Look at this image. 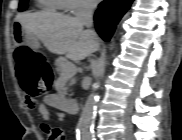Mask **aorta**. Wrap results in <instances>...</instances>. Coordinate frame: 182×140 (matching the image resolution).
Instances as JSON below:
<instances>
[{"instance_id":"aorta-1","label":"aorta","mask_w":182,"mask_h":140,"mask_svg":"<svg viewBox=\"0 0 182 140\" xmlns=\"http://www.w3.org/2000/svg\"><path fill=\"white\" fill-rule=\"evenodd\" d=\"M106 64V62L103 64L102 71L104 70ZM98 86L99 83L96 82L93 86L94 91L88 96L78 122L77 130L81 140H91L93 137V121L96 103L98 101V95L95 93V90L98 88Z\"/></svg>"}]
</instances>
